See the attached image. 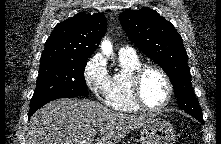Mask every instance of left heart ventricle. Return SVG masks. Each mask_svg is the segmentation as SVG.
I'll use <instances>...</instances> for the list:
<instances>
[{
	"instance_id": "obj_1",
	"label": "left heart ventricle",
	"mask_w": 221,
	"mask_h": 144,
	"mask_svg": "<svg viewBox=\"0 0 221 144\" xmlns=\"http://www.w3.org/2000/svg\"><path fill=\"white\" fill-rule=\"evenodd\" d=\"M142 97L148 106L161 105L168 93L167 84L163 76L156 70H149L141 83Z\"/></svg>"
}]
</instances>
